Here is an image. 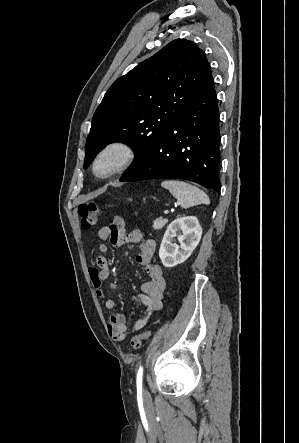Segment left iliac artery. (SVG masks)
I'll return each instance as SVG.
<instances>
[{
	"label": "left iliac artery",
	"mask_w": 299,
	"mask_h": 443,
	"mask_svg": "<svg viewBox=\"0 0 299 443\" xmlns=\"http://www.w3.org/2000/svg\"><path fill=\"white\" fill-rule=\"evenodd\" d=\"M142 377H143V367L140 366L137 372V377H136V384H137V389L139 391H142Z\"/></svg>",
	"instance_id": "44dca946"
}]
</instances>
